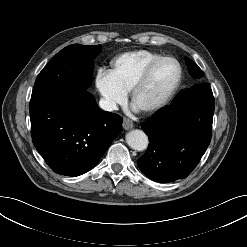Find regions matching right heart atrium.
Listing matches in <instances>:
<instances>
[{
  "mask_svg": "<svg viewBox=\"0 0 247 247\" xmlns=\"http://www.w3.org/2000/svg\"><path fill=\"white\" fill-rule=\"evenodd\" d=\"M94 84L107 109L113 110L117 105L125 102L127 91L115 81L110 70L99 68L95 75Z\"/></svg>",
  "mask_w": 247,
  "mask_h": 247,
  "instance_id": "d8ad5b80",
  "label": "right heart atrium"
}]
</instances>
